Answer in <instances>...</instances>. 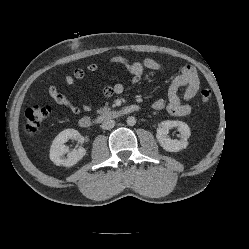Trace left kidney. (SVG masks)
I'll list each match as a JSON object with an SVG mask.
<instances>
[{"label":"left kidney","mask_w":249,"mask_h":249,"mask_svg":"<svg viewBox=\"0 0 249 249\" xmlns=\"http://www.w3.org/2000/svg\"><path fill=\"white\" fill-rule=\"evenodd\" d=\"M176 127L180 132V139H171L168 137L169 129ZM191 132L189 126L176 120H167L159 124L157 128L156 137L160 146L168 152H178L188 146L187 139L190 137Z\"/></svg>","instance_id":"obj_1"}]
</instances>
